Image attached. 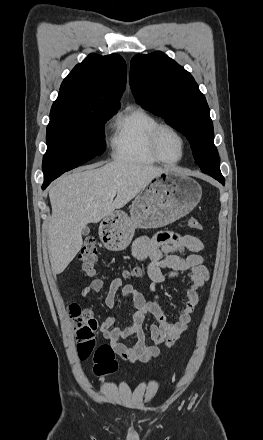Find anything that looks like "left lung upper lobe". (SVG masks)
Returning a JSON list of instances; mask_svg holds the SVG:
<instances>
[{
	"label": "left lung upper lobe",
	"mask_w": 263,
	"mask_h": 440,
	"mask_svg": "<svg viewBox=\"0 0 263 440\" xmlns=\"http://www.w3.org/2000/svg\"><path fill=\"white\" fill-rule=\"evenodd\" d=\"M129 82L139 104L188 138L202 172L221 174L209 107L192 75L156 51L132 58Z\"/></svg>",
	"instance_id": "obj_1"
}]
</instances>
